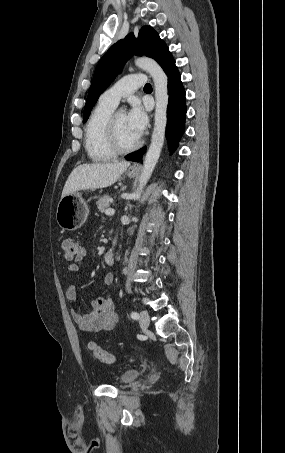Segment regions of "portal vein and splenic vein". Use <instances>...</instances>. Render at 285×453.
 <instances>
[{"mask_svg":"<svg viewBox=\"0 0 285 453\" xmlns=\"http://www.w3.org/2000/svg\"><path fill=\"white\" fill-rule=\"evenodd\" d=\"M114 213H115V210L112 209V208L106 209V210H105V214H106V215H113Z\"/></svg>","mask_w":285,"mask_h":453,"instance_id":"1","label":"portal vein and splenic vein"}]
</instances>
